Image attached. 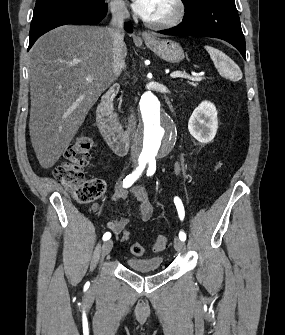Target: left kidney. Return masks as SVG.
I'll return each instance as SVG.
<instances>
[{
	"label": "left kidney",
	"mask_w": 285,
	"mask_h": 335,
	"mask_svg": "<svg viewBox=\"0 0 285 335\" xmlns=\"http://www.w3.org/2000/svg\"><path fill=\"white\" fill-rule=\"evenodd\" d=\"M217 110L211 102H201L188 122V130L201 144L212 142L218 130Z\"/></svg>",
	"instance_id": "5707ae66"
}]
</instances>
